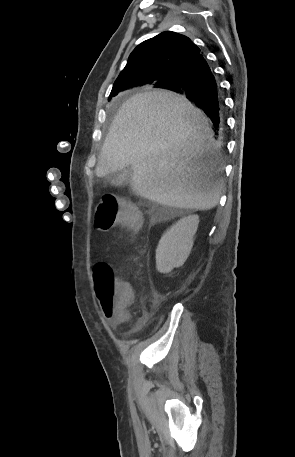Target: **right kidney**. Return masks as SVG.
<instances>
[{
    "label": "right kidney",
    "mask_w": 295,
    "mask_h": 457,
    "mask_svg": "<svg viewBox=\"0 0 295 457\" xmlns=\"http://www.w3.org/2000/svg\"><path fill=\"white\" fill-rule=\"evenodd\" d=\"M199 217L190 215L176 222L160 239L156 249V267L161 273H169L187 260L197 231Z\"/></svg>",
    "instance_id": "right-kidney-1"
}]
</instances>
